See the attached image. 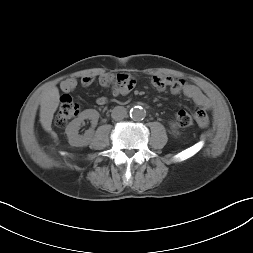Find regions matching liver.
<instances>
[{
  "instance_id": "1",
  "label": "liver",
  "mask_w": 253,
  "mask_h": 253,
  "mask_svg": "<svg viewBox=\"0 0 253 253\" xmlns=\"http://www.w3.org/2000/svg\"><path fill=\"white\" fill-rule=\"evenodd\" d=\"M59 105V90L53 86L45 90L41 95L40 122L44 130L57 140V134L52 130V119Z\"/></svg>"
}]
</instances>
